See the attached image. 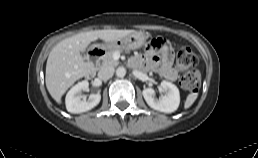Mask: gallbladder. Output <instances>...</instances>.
I'll use <instances>...</instances> for the list:
<instances>
[{
  "instance_id": "obj_1",
  "label": "gallbladder",
  "mask_w": 258,
  "mask_h": 158,
  "mask_svg": "<svg viewBox=\"0 0 258 158\" xmlns=\"http://www.w3.org/2000/svg\"><path fill=\"white\" fill-rule=\"evenodd\" d=\"M81 55H82V57H83V58H85V57H86V54H85V53H82Z\"/></svg>"
}]
</instances>
